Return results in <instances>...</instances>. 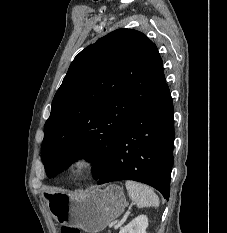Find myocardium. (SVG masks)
Returning <instances> with one entry per match:
<instances>
[{
	"instance_id": "myocardium-1",
	"label": "myocardium",
	"mask_w": 227,
	"mask_h": 233,
	"mask_svg": "<svg viewBox=\"0 0 227 233\" xmlns=\"http://www.w3.org/2000/svg\"><path fill=\"white\" fill-rule=\"evenodd\" d=\"M96 165V159L89 153H78L74 155L68 165V172L75 179L88 176Z\"/></svg>"
}]
</instances>
